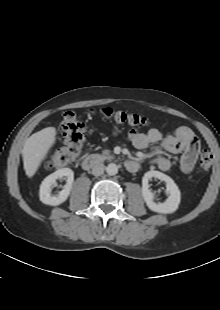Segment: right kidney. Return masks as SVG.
I'll return each mask as SVG.
<instances>
[{
  "mask_svg": "<svg viewBox=\"0 0 220 310\" xmlns=\"http://www.w3.org/2000/svg\"><path fill=\"white\" fill-rule=\"evenodd\" d=\"M66 179V184L58 195H51L52 186L57 179ZM74 172L70 168H62L48 175L41 183L39 190L40 201L46 205L57 206L65 202L71 192Z\"/></svg>",
  "mask_w": 220,
  "mask_h": 310,
  "instance_id": "1",
  "label": "right kidney"
}]
</instances>
